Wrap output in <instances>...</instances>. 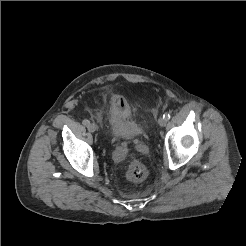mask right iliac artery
Segmentation results:
<instances>
[{"label":"right iliac artery","mask_w":246,"mask_h":246,"mask_svg":"<svg viewBox=\"0 0 246 246\" xmlns=\"http://www.w3.org/2000/svg\"><path fill=\"white\" fill-rule=\"evenodd\" d=\"M82 123H83V125H85V126H88V125L90 124V122H89L87 119H84V120L82 121Z\"/></svg>","instance_id":"1"}]
</instances>
